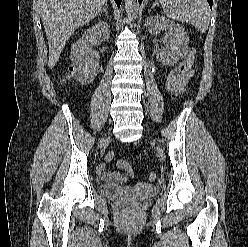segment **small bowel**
Segmentation results:
<instances>
[{"mask_svg":"<svg viewBox=\"0 0 248 247\" xmlns=\"http://www.w3.org/2000/svg\"><path fill=\"white\" fill-rule=\"evenodd\" d=\"M191 75H192V72L188 71V73L184 76L178 93H181L185 90L187 81L191 77ZM97 172H98L99 176L102 178V180H104L105 182H108V183H121V182H125L127 180V178L125 176L121 175L120 173L111 172V171L107 170V168L104 164L98 165Z\"/></svg>","mask_w":248,"mask_h":247,"instance_id":"c3829d8e","label":"small bowel"}]
</instances>
